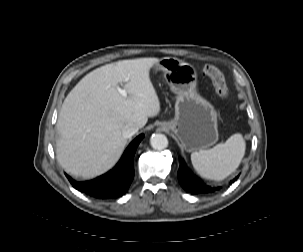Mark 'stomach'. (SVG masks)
Instances as JSON below:
<instances>
[{
    "instance_id": "0dacf381",
    "label": "stomach",
    "mask_w": 303,
    "mask_h": 252,
    "mask_svg": "<svg viewBox=\"0 0 303 252\" xmlns=\"http://www.w3.org/2000/svg\"><path fill=\"white\" fill-rule=\"evenodd\" d=\"M162 71L177 95L175 117L159 126L172 131L187 152L202 150L218 140L217 113L213 105L196 91V69L175 57H164L154 65Z\"/></svg>"
}]
</instances>
